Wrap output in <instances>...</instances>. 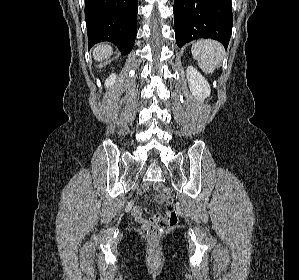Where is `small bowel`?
Returning a JSON list of instances; mask_svg holds the SVG:
<instances>
[{
    "mask_svg": "<svg viewBox=\"0 0 299 280\" xmlns=\"http://www.w3.org/2000/svg\"><path fill=\"white\" fill-rule=\"evenodd\" d=\"M132 215L135 217V219L143 226L147 227L149 223L151 222V219H145L141 215V211L137 206H134L132 208Z\"/></svg>",
    "mask_w": 299,
    "mask_h": 280,
    "instance_id": "1",
    "label": "small bowel"
}]
</instances>
